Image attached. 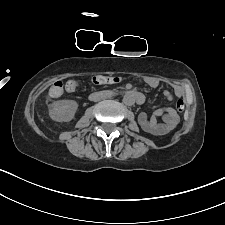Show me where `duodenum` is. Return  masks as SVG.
<instances>
[{"label":"duodenum","mask_w":225,"mask_h":225,"mask_svg":"<svg viewBox=\"0 0 225 225\" xmlns=\"http://www.w3.org/2000/svg\"><path fill=\"white\" fill-rule=\"evenodd\" d=\"M114 94H115V92H113V91H99V92H94L91 95V97L100 100V99L109 98V97L113 96ZM124 95L127 100H130L133 103H137V104L143 103V100H144L143 95L139 92L126 91V92H124Z\"/></svg>","instance_id":"410a0bca"}]
</instances>
